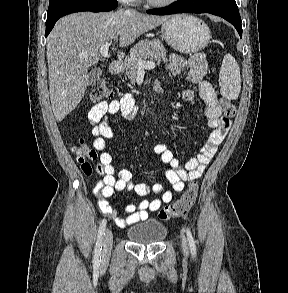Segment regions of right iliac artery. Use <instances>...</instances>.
Returning <instances> with one entry per match:
<instances>
[{
  "label": "right iliac artery",
  "mask_w": 288,
  "mask_h": 293,
  "mask_svg": "<svg viewBox=\"0 0 288 293\" xmlns=\"http://www.w3.org/2000/svg\"><path fill=\"white\" fill-rule=\"evenodd\" d=\"M106 223L107 221L104 219L99 226L98 239L95 245L94 259H93V262L95 265H98L101 260L102 240H103V236L105 235L104 231L106 228Z\"/></svg>",
  "instance_id": "82829eb1"
}]
</instances>
